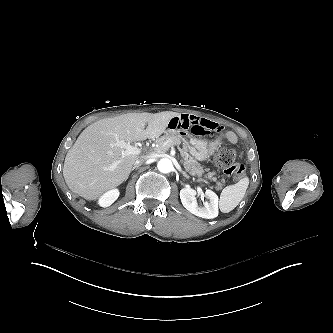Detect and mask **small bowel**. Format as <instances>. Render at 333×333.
Segmentation results:
<instances>
[{
	"label": "small bowel",
	"mask_w": 333,
	"mask_h": 333,
	"mask_svg": "<svg viewBox=\"0 0 333 333\" xmlns=\"http://www.w3.org/2000/svg\"><path fill=\"white\" fill-rule=\"evenodd\" d=\"M169 128L175 129L177 131H190L194 134L201 135H211L213 137L220 135L221 131L224 130L223 124H218L216 122H210L203 118L189 115L181 114L176 117H173L169 121ZM223 139L229 141L232 144L237 143V136L233 132H227L223 135ZM219 148L209 144V149L215 151Z\"/></svg>",
	"instance_id": "small-bowel-1"
}]
</instances>
